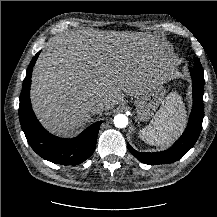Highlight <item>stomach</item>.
<instances>
[{
	"label": "stomach",
	"instance_id": "obj_1",
	"mask_svg": "<svg viewBox=\"0 0 217 217\" xmlns=\"http://www.w3.org/2000/svg\"><path fill=\"white\" fill-rule=\"evenodd\" d=\"M164 95L165 89L159 84L143 89L141 93L136 96L134 102L137 118L141 121L150 119L154 115L159 104L163 101Z\"/></svg>",
	"mask_w": 217,
	"mask_h": 217
}]
</instances>
